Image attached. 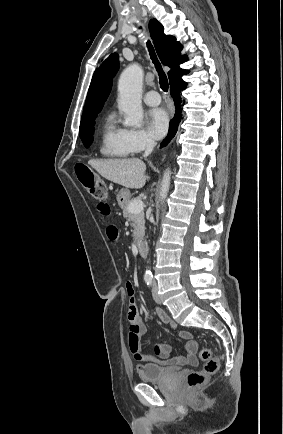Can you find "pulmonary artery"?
Wrapping results in <instances>:
<instances>
[{"label":"pulmonary artery","instance_id":"e3ab8cb5","mask_svg":"<svg viewBox=\"0 0 283 434\" xmlns=\"http://www.w3.org/2000/svg\"><path fill=\"white\" fill-rule=\"evenodd\" d=\"M144 102L149 106H157L160 104L161 99L156 91H149L143 97Z\"/></svg>","mask_w":283,"mask_h":434}]
</instances>
